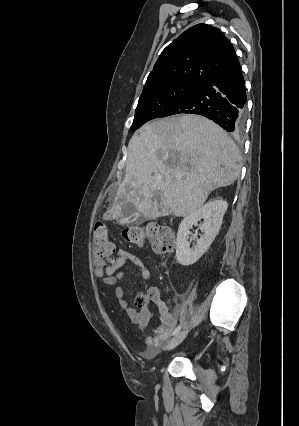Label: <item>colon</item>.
<instances>
[{
  "mask_svg": "<svg viewBox=\"0 0 299 426\" xmlns=\"http://www.w3.org/2000/svg\"><path fill=\"white\" fill-rule=\"evenodd\" d=\"M126 241L138 246L150 244L157 253L171 252L175 246V237L173 231L161 224L151 223L145 226L127 227L122 232ZM93 241L95 255L102 259L106 264H111L113 260L115 246L109 240L107 227L104 223L98 222L93 228ZM148 302L146 296L137 298L136 303L139 306H145Z\"/></svg>",
  "mask_w": 299,
  "mask_h": 426,
  "instance_id": "1",
  "label": "colon"
}]
</instances>
